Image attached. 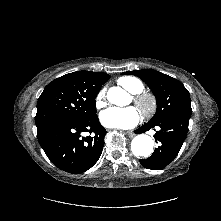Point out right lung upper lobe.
Wrapping results in <instances>:
<instances>
[{"label": "right lung upper lobe", "mask_w": 221, "mask_h": 221, "mask_svg": "<svg viewBox=\"0 0 221 221\" xmlns=\"http://www.w3.org/2000/svg\"><path fill=\"white\" fill-rule=\"evenodd\" d=\"M69 75L76 78L85 86L94 89H100L101 86L110 78L108 74L91 71H77L69 73Z\"/></svg>", "instance_id": "cb5924a9"}]
</instances>
